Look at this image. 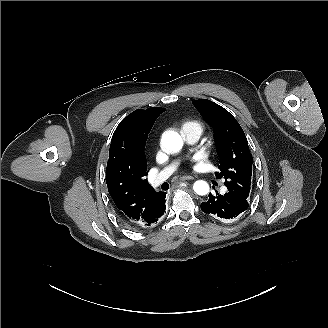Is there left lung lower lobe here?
Returning <instances> with one entry per match:
<instances>
[{
    "instance_id": "left-lung-lower-lobe-1",
    "label": "left lung lower lobe",
    "mask_w": 328,
    "mask_h": 328,
    "mask_svg": "<svg viewBox=\"0 0 328 328\" xmlns=\"http://www.w3.org/2000/svg\"><path fill=\"white\" fill-rule=\"evenodd\" d=\"M248 201L231 191H227L224 195L216 196L209 194V200L201 204V210L222 221L228 222L248 208Z\"/></svg>"
}]
</instances>
